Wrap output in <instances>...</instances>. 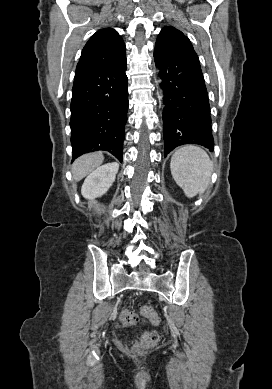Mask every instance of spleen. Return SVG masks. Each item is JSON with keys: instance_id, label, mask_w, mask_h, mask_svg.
Here are the masks:
<instances>
[{"instance_id": "obj_1", "label": "spleen", "mask_w": 272, "mask_h": 389, "mask_svg": "<svg viewBox=\"0 0 272 389\" xmlns=\"http://www.w3.org/2000/svg\"><path fill=\"white\" fill-rule=\"evenodd\" d=\"M172 177L189 198L201 194L207 188L213 170L207 153L197 146H184L171 158Z\"/></svg>"}]
</instances>
